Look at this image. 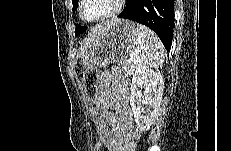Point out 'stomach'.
Returning a JSON list of instances; mask_svg holds the SVG:
<instances>
[{
	"instance_id": "1",
	"label": "stomach",
	"mask_w": 231,
	"mask_h": 151,
	"mask_svg": "<svg viewBox=\"0 0 231 151\" xmlns=\"http://www.w3.org/2000/svg\"><path fill=\"white\" fill-rule=\"evenodd\" d=\"M134 31L135 24L130 20L113 22L81 56L80 65L86 69H95L125 60L134 48Z\"/></svg>"
}]
</instances>
